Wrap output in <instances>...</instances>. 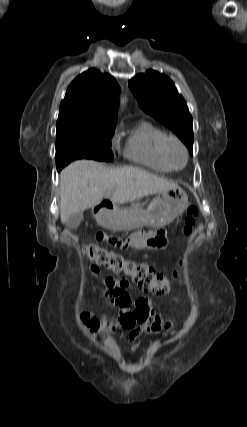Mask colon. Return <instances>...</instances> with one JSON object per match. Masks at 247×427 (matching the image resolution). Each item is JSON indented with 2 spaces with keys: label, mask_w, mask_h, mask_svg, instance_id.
<instances>
[{
  "label": "colon",
  "mask_w": 247,
  "mask_h": 427,
  "mask_svg": "<svg viewBox=\"0 0 247 427\" xmlns=\"http://www.w3.org/2000/svg\"><path fill=\"white\" fill-rule=\"evenodd\" d=\"M197 216L198 209L191 206L188 209L183 228L186 236L192 234ZM82 252L90 261L102 265L106 269L114 272L124 273L130 276L142 291L164 294L169 289V279L162 273L156 272L146 263H137L126 259L122 255L94 243L84 245L82 247ZM83 320L91 329H96L98 325L96 318L86 314L83 316Z\"/></svg>",
  "instance_id": "1"
}]
</instances>
